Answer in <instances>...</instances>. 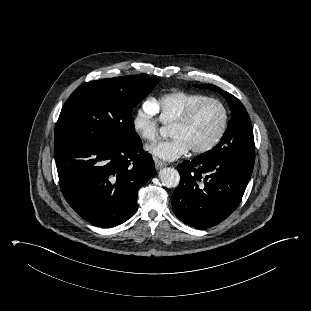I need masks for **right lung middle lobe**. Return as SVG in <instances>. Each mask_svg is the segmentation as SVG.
<instances>
[{"label":"right lung middle lobe","instance_id":"dd1d6c3e","mask_svg":"<svg viewBox=\"0 0 311 311\" xmlns=\"http://www.w3.org/2000/svg\"><path fill=\"white\" fill-rule=\"evenodd\" d=\"M157 83L156 78L131 75L82 84L62 108L54 146L70 142L121 146L139 141L131 112Z\"/></svg>","mask_w":311,"mask_h":311}]
</instances>
